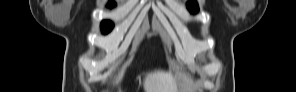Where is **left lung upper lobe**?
Returning <instances> with one entry per match:
<instances>
[{
    "instance_id": "1",
    "label": "left lung upper lobe",
    "mask_w": 296,
    "mask_h": 92,
    "mask_svg": "<svg viewBox=\"0 0 296 92\" xmlns=\"http://www.w3.org/2000/svg\"><path fill=\"white\" fill-rule=\"evenodd\" d=\"M187 8L192 13H196L199 10L197 2L194 0H191L187 3Z\"/></svg>"
}]
</instances>
